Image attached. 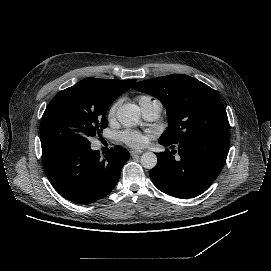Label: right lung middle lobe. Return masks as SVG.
<instances>
[{"instance_id":"obj_1","label":"right lung middle lobe","mask_w":271,"mask_h":271,"mask_svg":"<svg viewBox=\"0 0 271 271\" xmlns=\"http://www.w3.org/2000/svg\"><path fill=\"white\" fill-rule=\"evenodd\" d=\"M107 109L88 105L73 91H60L42 116L41 146L67 142L90 145L89 138L107 127Z\"/></svg>"}]
</instances>
